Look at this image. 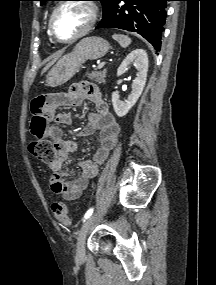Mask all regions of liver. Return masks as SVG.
<instances>
[{
    "instance_id": "1",
    "label": "liver",
    "mask_w": 216,
    "mask_h": 285,
    "mask_svg": "<svg viewBox=\"0 0 216 285\" xmlns=\"http://www.w3.org/2000/svg\"><path fill=\"white\" fill-rule=\"evenodd\" d=\"M62 53H63V51H60L59 53H57V54L53 57L52 61H50V62L43 68L42 73L46 72V71L55 63V61L62 55Z\"/></svg>"
}]
</instances>
